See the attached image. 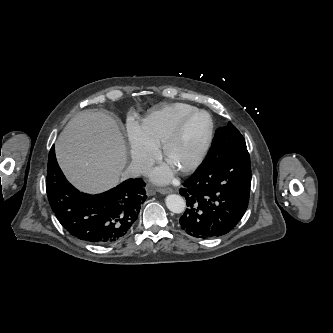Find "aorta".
<instances>
[{"label": "aorta", "instance_id": "aorta-1", "mask_svg": "<svg viewBox=\"0 0 333 333\" xmlns=\"http://www.w3.org/2000/svg\"><path fill=\"white\" fill-rule=\"evenodd\" d=\"M166 206L173 213H182L185 211V200L176 194L168 195L166 198Z\"/></svg>", "mask_w": 333, "mask_h": 333}]
</instances>
